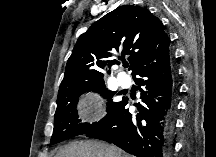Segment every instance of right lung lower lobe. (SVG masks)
I'll use <instances>...</instances> for the list:
<instances>
[{
    "instance_id": "1",
    "label": "right lung lower lobe",
    "mask_w": 216,
    "mask_h": 157,
    "mask_svg": "<svg viewBox=\"0 0 216 157\" xmlns=\"http://www.w3.org/2000/svg\"><path fill=\"white\" fill-rule=\"evenodd\" d=\"M136 83L144 87L137 112H129L124 98L115 116L87 137L113 143L136 157H169L173 145L176 81L169 50L138 70Z\"/></svg>"
}]
</instances>
